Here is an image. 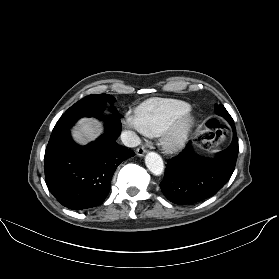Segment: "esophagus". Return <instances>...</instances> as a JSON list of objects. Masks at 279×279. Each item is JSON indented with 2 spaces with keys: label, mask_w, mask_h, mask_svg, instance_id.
Instances as JSON below:
<instances>
[{
  "label": "esophagus",
  "mask_w": 279,
  "mask_h": 279,
  "mask_svg": "<svg viewBox=\"0 0 279 279\" xmlns=\"http://www.w3.org/2000/svg\"><path fill=\"white\" fill-rule=\"evenodd\" d=\"M147 152L146 148L144 146H141L137 149L136 153L138 156H143Z\"/></svg>",
  "instance_id": "esophagus-1"
}]
</instances>
